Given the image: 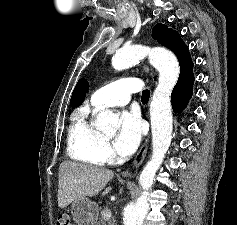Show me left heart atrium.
Masks as SVG:
<instances>
[{
	"label": "left heart atrium",
	"mask_w": 237,
	"mask_h": 225,
	"mask_svg": "<svg viewBox=\"0 0 237 225\" xmlns=\"http://www.w3.org/2000/svg\"><path fill=\"white\" fill-rule=\"evenodd\" d=\"M142 137V122L136 112H123L120 127L114 140V147L121 156L131 155L138 147Z\"/></svg>",
	"instance_id": "39dd6f15"
}]
</instances>
